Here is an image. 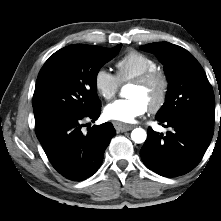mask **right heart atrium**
<instances>
[{
  "mask_svg": "<svg viewBox=\"0 0 221 221\" xmlns=\"http://www.w3.org/2000/svg\"><path fill=\"white\" fill-rule=\"evenodd\" d=\"M119 86L120 82L116 75L104 67L97 69L94 75V87L99 96L109 100L115 96Z\"/></svg>",
  "mask_w": 221,
  "mask_h": 221,
  "instance_id": "d8ad5b80",
  "label": "right heart atrium"
}]
</instances>
